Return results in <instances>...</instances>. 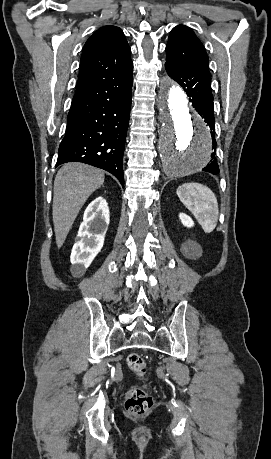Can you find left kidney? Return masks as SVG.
<instances>
[{
    "label": "left kidney",
    "instance_id": "left-kidney-1",
    "mask_svg": "<svg viewBox=\"0 0 271 459\" xmlns=\"http://www.w3.org/2000/svg\"><path fill=\"white\" fill-rule=\"evenodd\" d=\"M179 218L186 228H192V226H194L193 220H191L190 216H187V214H179Z\"/></svg>",
    "mask_w": 271,
    "mask_h": 459
}]
</instances>
